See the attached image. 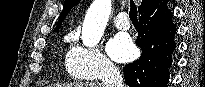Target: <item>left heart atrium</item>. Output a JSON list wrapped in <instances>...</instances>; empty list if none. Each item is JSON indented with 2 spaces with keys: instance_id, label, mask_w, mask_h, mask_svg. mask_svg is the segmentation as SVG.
Here are the masks:
<instances>
[{
  "instance_id": "1",
  "label": "left heart atrium",
  "mask_w": 205,
  "mask_h": 87,
  "mask_svg": "<svg viewBox=\"0 0 205 87\" xmlns=\"http://www.w3.org/2000/svg\"><path fill=\"white\" fill-rule=\"evenodd\" d=\"M108 52L114 60L125 62L134 57L135 48L127 35L118 34L108 43Z\"/></svg>"
}]
</instances>
